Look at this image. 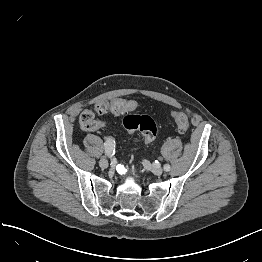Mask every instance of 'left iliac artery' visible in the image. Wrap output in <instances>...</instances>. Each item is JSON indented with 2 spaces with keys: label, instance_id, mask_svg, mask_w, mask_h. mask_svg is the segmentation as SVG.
<instances>
[{
  "label": "left iliac artery",
  "instance_id": "left-iliac-artery-1",
  "mask_svg": "<svg viewBox=\"0 0 262 262\" xmlns=\"http://www.w3.org/2000/svg\"><path fill=\"white\" fill-rule=\"evenodd\" d=\"M170 169H171L170 165H169V164H165L164 170H165L166 172H168V171H170Z\"/></svg>",
  "mask_w": 262,
  "mask_h": 262
}]
</instances>
